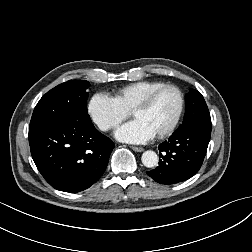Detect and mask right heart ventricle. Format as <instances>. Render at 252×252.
<instances>
[{"label":"right heart ventricle","mask_w":252,"mask_h":252,"mask_svg":"<svg viewBox=\"0 0 252 252\" xmlns=\"http://www.w3.org/2000/svg\"><path fill=\"white\" fill-rule=\"evenodd\" d=\"M164 85L161 81H138L124 85L113 92L112 98L126 111L142 100L149 92Z\"/></svg>","instance_id":"obj_1"}]
</instances>
